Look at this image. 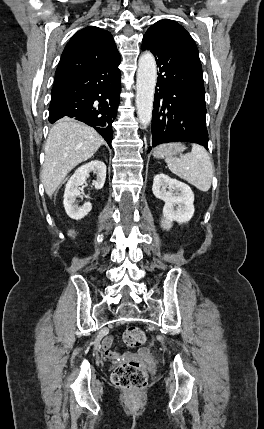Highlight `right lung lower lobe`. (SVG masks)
<instances>
[{
	"label": "right lung lower lobe",
	"mask_w": 264,
	"mask_h": 429,
	"mask_svg": "<svg viewBox=\"0 0 264 429\" xmlns=\"http://www.w3.org/2000/svg\"><path fill=\"white\" fill-rule=\"evenodd\" d=\"M119 52L92 69L54 85L49 122L68 116L92 126L112 147V123L119 105Z\"/></svg>",
	"instance_id": "1"
}]
</instances>
